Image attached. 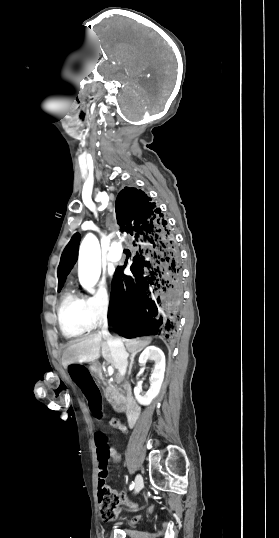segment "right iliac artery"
Returning a JSON list of instances; mask_svg holds the SVG:
<instances>
[{
    "mask_svg": "<svg viewBox=\"0 0 279 538\" xmlns=\"http://www.w3.org/2000/svg\"><path fill=\"white\" fill-rule=\"evenodd\" d=\"M133 488H134V482L131 483L130 490H132Z\"/></svg>",
    "mask_w": 279,
    "mask_h": 538,
    "instance_id": "right-iliac-artery-1",
    "label": "right iliac artery"
}]
</instances>
